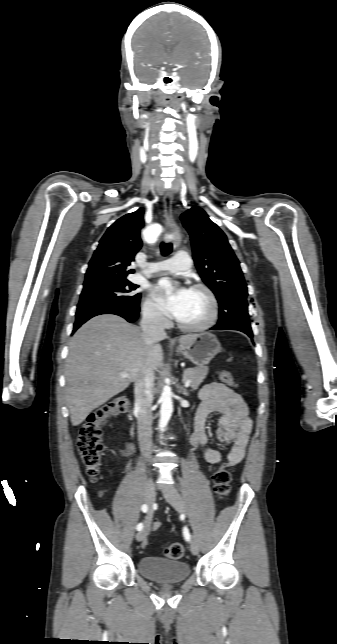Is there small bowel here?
<instances>
[{"instance_id": "small-bowel-1", "label": "small bowel", "mask_w": 337, "mask_h": 644, "mask_svg": "<svg viewBox=\"0 0 337 644\" xmlns=\"http://www.w3.org/2000/svg\"><path fill=\"white\" fill-rule=\"evenodd\" d=\"M199 397L201 403L195 416L191 444L194 447L203 448L205 459L210 464L216 465L225 458L230 465L236 466L245 456L253 426L246 403L239 394L220 383L205 385ZM213 413L220 414L216 431L218 441L222 445H232L225 456L210 446L206 422ZM131 454L132 448L127 446L123 450V455L128 457ZM145 525L149 532L151 528L158 529L160 522L149 513L145 518ZM146 543L147 541L144 540L143 545Z\"/></svg>"}]
</instances>
